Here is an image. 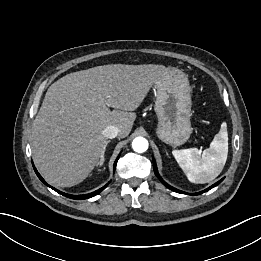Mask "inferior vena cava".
I'll list each match as a JSON object with an SVG mask.
<instances>
[{
	"label": "inferior vena cava",
	"instance_id": "obj_1",
	"mask_svg": "<svg viewBox=\"0 0 261 261\" xmlns=\"http://www.w3.org/2000/svg\"><path fill=\"white\" fill-rule=\"evenodd\" d=\"M119 134V129L117 126H114V125H109L107 126L104 131H103V135L106 137V138H109V139H113L115 138L117 135Z\"/></svg>",
	"mask_w": 261,
	"mask_h": 261
}]
</instances>
